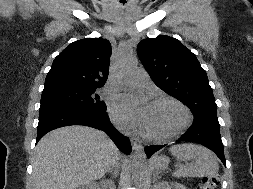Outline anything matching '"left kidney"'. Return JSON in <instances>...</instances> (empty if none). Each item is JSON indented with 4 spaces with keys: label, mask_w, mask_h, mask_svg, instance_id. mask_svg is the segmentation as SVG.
Returning a JSON list of instances; mask_svg holds the SVG:
<instances>
[{
    "label": "left kidney",
    "mask_w": 253,
    "mask_h": 189,
    "mask_svg": "<svg viewBox=\"0 0 253 189\" xmlns=\"http://www.w3.org/2000/svg\"><path fill=\"white\" fill-rule=\"evenodd\" d=\"M154 189H187L184 185L180 183L159 182L154 186Z\"/></svg>",
    "instance_id": "5707ae66"
}]
</instances>
